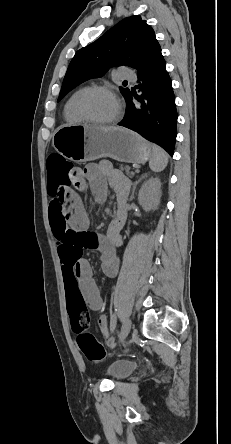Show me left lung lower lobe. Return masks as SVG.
<instances>
[{
	"mask_svg": "<svg viewBox=\"0 0 231 444\" xmlns=\"http://www.w3.org/2000/svg\"><path fill=\"white\" fill-rule=\"evenodd\" d=\"M139 92L132 89L125 96L127 103L120 126L138 132L162 146L171 156L176 140L177 111L171 79L161 48L138 71ZM136 99L138 103H134Z\"/></svg>",
	"mask_w": 231,
	"mask_h": 444,
	"instance_id": "0a47b994",
	"label": "left lung lower lobe"
}]
</instances>
